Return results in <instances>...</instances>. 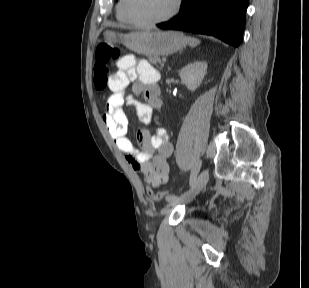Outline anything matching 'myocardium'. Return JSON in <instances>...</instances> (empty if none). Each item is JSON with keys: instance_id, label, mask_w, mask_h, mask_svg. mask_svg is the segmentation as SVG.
Here are the masks:
<instances>
[{"instance_id": "obj_1", "label": "myocardium", "mask_w": 309, "mask_h": 288, "mask_svg": "<svg viewBox=\"0 0 309 288\" xmlns=\"http://www.w3.org/2000/svg\"><path fill=\"white\" fill-rule=\"evenodd\" d=\"M123 4H122V11H123V15L125 17V19L128 21L129 24L138 27V28H148V27H153L159 24H162L170 19H172L174 16H176L178 14V12L180 11L181 5H182V0H174V5L172 10L158 18L155 20H151V21H139L137 19H135L130 11H129V0H122Z\"/></svg>"}]
</instances>
